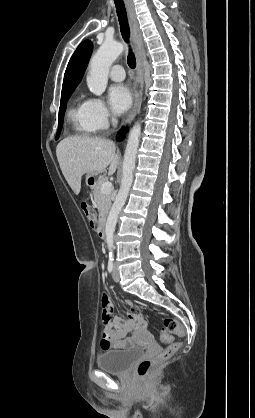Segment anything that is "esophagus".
I'll return each instance as SVG.
<instances>
[{
    "label": "esophagus",
    "mask_w": 255,
    "mask_h": 418,
    "mask_svg": "<svg viewBox=\"0 0 255 418\" xmlns=\"http://www.w3.org/2000/svg\"><path fill=\"white\" fill-rule=\"evenodd\" d=\"M126 5L129 14L131 38L134 44L136 58H137V67H136V80L138 90L135 93L134 105L130 113L126 118V124L130 123L134 118L135 114L140 110L141 101H142V89H143V74H144V59H145V49L144 44L141 38V35L138 30V22L134 10L133 4L130 0H126Z\"/></svg>",
    "instance_id": "esophagus-1"
}]
</instances>
